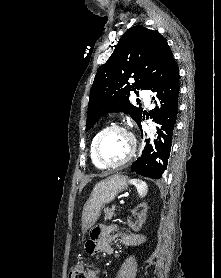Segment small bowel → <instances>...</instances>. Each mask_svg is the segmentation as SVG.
<instances>
[{"label":"small bowel","instance_id":"small-bowel-1","mask_svg":"<svg viewBox=\"0 0 221 278\" xmlns=\"http://www.w3.org/2000/svg\"><path fill=\"white\" fill-rule=\"evenodd\" d=\"M117 239L130 246H137L143 241V237L139 234L118 232L116 226L101 225L90 232V237L86 242V251L89 254H113L114 250L110 243ZM98 275L97 268L88 270V278H98Z\"/></svg>","mask_w":221,"mask_h":278}]
</instances>
